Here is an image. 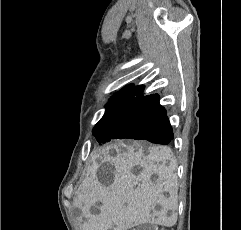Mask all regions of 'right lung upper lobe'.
Returning <instances> with one entry per match:
<instances>
[{"label": "right lung upper lobe", "instance_id": "obj_1", "mask_svg": "<svg viewBox=\"0 0 241 230\" xmlns=\"http://www.w3.org/2000/svg\"><path fill=\"white\" fill-rule=\"evenodd\" d=\"M143 86L127 85L109 100L106 105V113L121 112L135 113L144 105H147L157 94L143 96Z\"/></svg>", "mask_w": 241, "mask_h": 230}]
</instances>
